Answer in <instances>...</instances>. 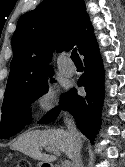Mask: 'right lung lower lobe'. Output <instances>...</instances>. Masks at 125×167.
<instances>
[{"label": "right lung lower lobe", "mask_w": 125, "mask_h": 167, "mask_svg": "<svg viewBox=\"0 0 125 167\" xmlns=\"http://www.w3.org/2000/svg\"><path fill=\"white\" fill-rule=\"evenodd\" d=\"M80 54L84 56L85 72L77 84L85 87L87 95L79 96L77 90L72 89L63 96L61 104L63 109L73 115L81 132L94 141L101 127L100 113L104 99L103 64L94 36L84 45ZM60 109L59 106L52 109L38 123L46 124L54 121Z\"/></svg>", "instance_id": "98d812e1"}]
</instances>
